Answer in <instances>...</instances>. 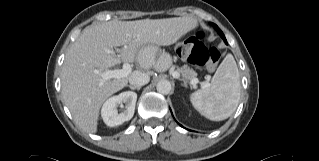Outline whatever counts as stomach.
Wrapping results in <instances>:
<instances>
[{"mask_svg":"<svg viewBox=\"0 0 319 161\" xmlns=\"http://www.w3.org/2000/svg\"><path fill=\"white\" fill-rule=\"evenodd\" d=\"M139 60L153 62L160 70H167L172 65L170 54L161 50L157 45L148 44L143 46L138 53Z\"/></svg>","mask_w":319,"mask_h":161,"instance_id":"stomach-1","label":"stomach"}]
</instances>
